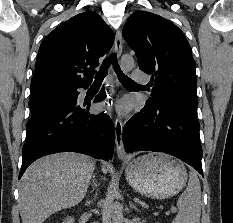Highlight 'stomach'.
I'll use <instances>...</instances> for the list:
<instances>
[{
    "label": "stomach",
    "instance_id": "obj_1",
    "mask_svg": "<svg viewBox=\"0 0 233 223\" xmlns=\"http://www.w3.org/2000/svg\"><path fill=\"white\" fill-rule=\"evenodd\" d=\"M131 187L153 199H166L186 185L188 173L181 161L166 153H144L132 159L125 169Z\"/></svg>",
    "mask_w": 233,
    "mask_h": 223
}]
</instances>
